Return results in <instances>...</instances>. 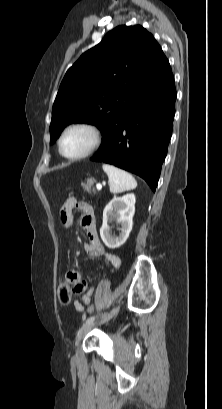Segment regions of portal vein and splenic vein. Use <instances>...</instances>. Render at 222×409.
I'll return each mask as SVG.
<instances>
[{"mask_svg": "<svg viewBox=\"0 0 222 409\" xmlns=\"http://www.w3.org/2000/svg\"><path fill=\"white\" fill-rule=\"evenodd\" d=\"M96 188H97V190H101V189H102V185H101L100 183H98V184L96 185Z\"/></svg>", "mask_w": 222, "mask_h": 409, "instance_id": "18ae733b", "label": "portal vein and splenic vein"}]
</instances>
